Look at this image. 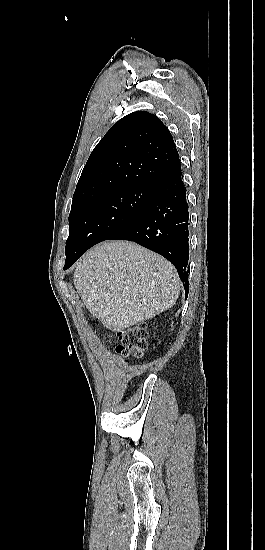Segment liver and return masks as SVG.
Listing matches in <instances>:
<instances>
[{
    "label": "liver",
    "mask_w": 265,
    "mask_h": 550,
    "mask_svg": "<svg viewBox=\"0 0 265 550\" xmlns=\"http://www.w3.org/2000/svg\"><path fill=\"white\" fill-rule=\"evenodd\" d=\"M74 285L91 314L119 332L171 308L181 282L164 257L133 242L109 241L83 255Z\"/></svg>",
    "instance_id": "obj_1"
}]
</instances>
